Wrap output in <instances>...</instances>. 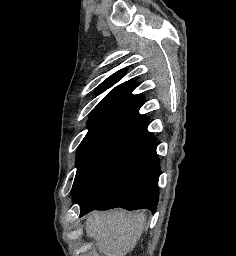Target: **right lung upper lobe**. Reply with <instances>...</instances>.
I'll return each mask as SVG.
<instances>
[{
	"label": "right lung upper lobe",
	"mask_w": 236,
	"mask_h": 256,
	"mask_svg": "<svg viewBox=\"0 0 236 256\" xmlns=\"http://www.w3.org/2000/svg\"><path fill=\"white\" fill-rule=\"evenodd\" d=\"M124 73V70L114 73L104 80L97 91L102 92L110 88L123 77ZM134 87L135 84L131 81L115 87L93 109L89 122L111 117L147 122L145 116L138 112L143 105L144 97L132 95Z\"/></svg>",
	"instance_id": "1"
}]
</instances>
